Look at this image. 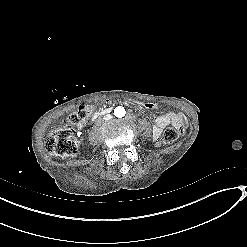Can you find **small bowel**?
Listing matches in <instances>:
<instances>
[{
  "mask_svg": "<svg viewBox=\"0 0 247 247\" xmlns=\"http://www.w3.org/2000/svg\"><path fill=\"white\" fill-rule=\"evenodd\" d=\"M184 116L181 113L170 112L155 118L153 134L155 139L159 138L163 129L169 125H183Z\"/></svg>",
  "mask_w": 247,
  "mask_h": 247,
  "instance_id": "1",
  "label": "small bowel"
}]
</instances>
